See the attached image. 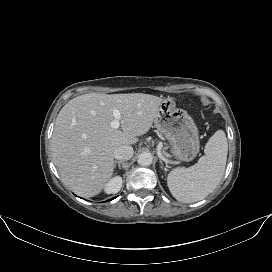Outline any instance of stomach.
<instances>
[{"label":"stomach","instance_id":"obj_1","mask_svg":"<svg viewBox=\"0 0 272 272\" xmlns=\"http://www.w3.org/2000/svg\"><path fill=\"white\" fill-rule=\"evenodd\" d=\"M154 123L170 141L177 160L188 162L197 156L200 149L197 126L186 111L176 107L172 98L162 101Z\"/></svg>","mask_w":272,"mask_h":272}]
</instances>
